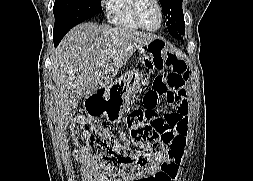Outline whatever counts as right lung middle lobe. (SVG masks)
<instances>
[{
  "label": "right lung middle lobe",
  "instance_id": "1",
  "mask_svg": "<svg viewBox=\"0 0 253 181\" xmlns=\"http://www.w3.org/2000/svg\"><path fill=\"white\" fill-rule=\"evenodd\" d=\"M53 36L68 32L75 25L102 12L100 0H55Z\"/></svg>",
  "mask_w": 253,
  "mask_h": 181
}]
</instances>
